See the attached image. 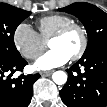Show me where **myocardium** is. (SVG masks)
Segmentation results:
<instances>
[{"label": "myocardium", "instance_id": "obj_1", "mask_svg": "<svg viewBox=\"0 0 107 107\" xmlns=\"http://www.w3.org/2000/svg\"><path fill=\"white\" fill-rule=\"evenodd\" d=\"M73 29L79 30L80 33H81V36H82V43H81L80 48L78 49V51L76 53H74L70 57L71 60H78L86 52L87 47H88V43H89L88 32H87L86 28L82 24L77 23V22H71L69 24H66L65 26H63L62 28H60L57 32H55L52 35V37L50 38L49 41L63 38L67 33H69Z\"/></svg>", "mask_w": 107, "mask_h": 107}]
</instances>
